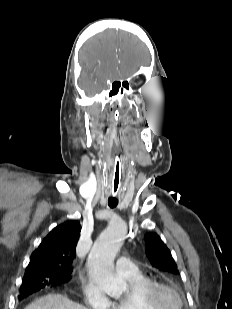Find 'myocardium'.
<instances>
[{
	"mask_svg": "<svg viewBox=\"0 0 232 309\" xmlns=\"http://www.w3.org/2000/svg\"><path fill=\"white\" fill-rule=\"evenodd\" d=\"M172 293L178 300V309H183L184 299L180 291L167 283L152 281L143 291L142 300L149 309H165L163 304V295Z\"/></svg>",
	"mask_w": 232,
	"mask_h": 309,
	"instance_id": "obj_1",
	"label": "myocardium"
}]
</instances>
